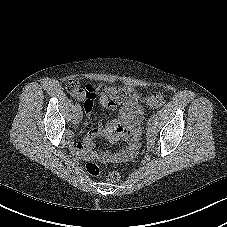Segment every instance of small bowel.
<instances>
[{
	"instance_id": "small-bowel-1",
	"label": "small bowel",
	"mask_w": 227,
	"mask_h": 227,
	"mask_svg": "<svg viewBox=\"0 0 227 227\" xmlns=\"http://www.w3.org/2000/svg\"><path fill=\"white\" fill-rule=\"evenodd\" d=\"M75 98L82 101L85 112L90 115L93 110L95 98H89L86 89H82L76 94ZM139 95L133 92L129 103L122 104L118 109L116 118L110 120L106 125L98 124L91 129L83 142L71 141V148L76 153L87 160L101 161H120L132 157L137 151V143L140 135V123L143 120L144 112L139 104ZM100 104L108 110H116L117 104L108 96L100 95ZM102 136L112 143L124 140L126 147L119 152L112 153L104 151L98 153L94 150L95 139Z\"/></svg>"
}]
</instances>
